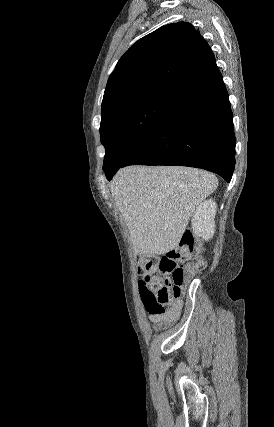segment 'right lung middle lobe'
<instances>
[{"label":"right lung middle lobe","mask_w":274,"mask_h":427,"mask_svg":"<svg viewBox=\"0 0 274 427\" xmlns=\"http://www.w3.org/2000/svg\"><path fill=\"white\" fill-rule=\"evenodd\" d=\"M176 98L150 94L124 101L102 113L103 167L124 162L156 127Z\"/></svg>","instance_id":"1"}]
</instances>
